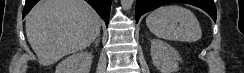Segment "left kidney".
Listing matches in <instances>:
<instances>
[{
    "instance_id": "left-kidney-1",
    "label": "left kidney",
    "mask_w": 244,
    "mask_h": 73,
    "mask_svg": "<svg viewBox=\"0 0 244 73\" xmlns=\"http://www.w3.org/2000/svg\"><path fill=\"white\" fill-rule=\"evenodd\" d=\"M150 50L153 64L161 73H175L178 70L181 57L172 46L159 39H152Z\"/></svg>"
}]
</instances>
